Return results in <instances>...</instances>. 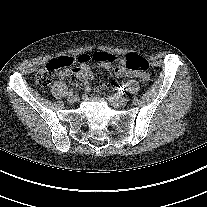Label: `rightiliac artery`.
<instances>
[{"label": "right iliac artery", "mask_w": 207, "mask_h": 207, "mask_svg": "<svg viewBox=\"0 0 207 207\" xmlns=\"http://www.w3.org/2000/svg\"><path fill=\"white\" fill-rule=\"evenodd\" d=\"M73 93H74V90L70 89L69 92H67V96H71V95H73Z\"/></svg>", "instance_id": "82829eb1"}]
</instances>
